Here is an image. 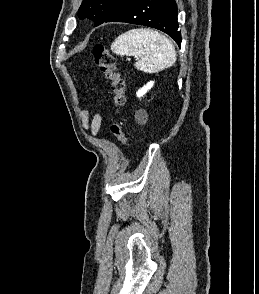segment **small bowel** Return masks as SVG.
Here are the masks:
<instances>
[{
    "instance_id": "c3829d8e",
    "label": "small bowel",
    "mask_w": 259,
    "mask_h": 294,
    "mask_svg": "<svg viewBox=\"0 0 259 294\" xmlns=\"http://www.w3.org/2000/svg\"><path fill=\"white\" fill-rule=\"evenodd\" d=\"M80 118L85 129L89 130L91 134L96 135L102 124V116L100 113H95L92 118L87 110L80 111Z\"/></svg>"
}]
</instances>
